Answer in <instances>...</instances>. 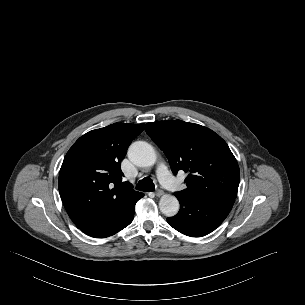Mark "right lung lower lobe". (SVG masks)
Wrapping results in <instances>:
<instances>
[{"mask_svg": "<svg viewBox=\"0 0 305 305\" xmlns=\"http://www.w3.org/2000/svg\"><path fill=\"white\" fill-rule=\"evenodd\" d=\"M142 197L143 194H141L132 204L108 219L106 222L80 229L85 234L96 238H105L119 232L132 222L135 213V204Z\"/></svg>", "mask_w": 305, "mask_h": 305, "instance_id": "obj_1", "label": "right lung lower lobe"}]
</instances>
